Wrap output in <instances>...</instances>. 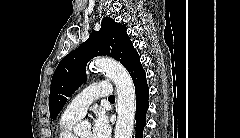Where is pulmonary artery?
I'll return each mask as SVG.
<instances>
[{
  "mask_svg": "<svg viewBox=\"0 0 240 138\" xmlns=\"http://www.w3.org/2000/svg\"><path fill=\"white\" fill-rule=\"evenodd\" d=\"M111 95L112 90L109 82H96L75 96L67 105L63 115L80 118L97 98L110 97Z\"/></svg>",
  "mask_w": 240,
  "mask_h": 138,
  "instance_id": "e3ab8cb5",
  "label": "pulmonary artery"
}]
</instances>
